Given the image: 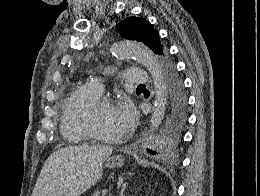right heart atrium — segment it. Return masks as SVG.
<instances>
[{
  "instance_id": "right-heart-atrium-1",
  "label": "right heart atrium",
  "mask_w": 260,
  "mask_h": 196,
  "mask_svg": "<svg viewBox=\"0 0 260 196\" xmlns=\"http://www.w3.org/2000/svg\"><path fill=\"white\" fill-rule=\"evenodd\" d=\"M58 192H69V190H58Z\"/></svg>"
}]
</instances>
